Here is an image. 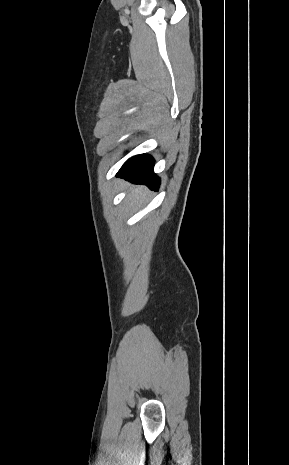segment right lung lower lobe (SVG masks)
<instances>
[{
    "mask_svg": "<svg viewBox=\"0 0 289 465\" xmlns=\"http://www.w3.org/2000/svg\"><path fill=\"white\" fill-rule=\"evenodd\" d=\"M154 160L151 156L141 154L130 158L119 170L117 176L133 183L145 184L157 191L160 179L153 172Z\"/></svg>",
    "mask_w": 289,
    "mask_h": 465,
    "instance_id": "right-lung-lower-lobe-1",
    "label": "right lung lower lobe"
}]
</instances>
